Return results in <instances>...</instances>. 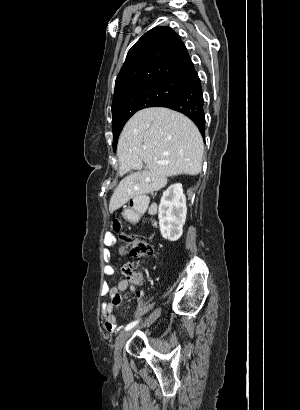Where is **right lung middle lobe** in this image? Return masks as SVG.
Wrapping results in <instances>:
<instances>
[{
	"mask_svg": "<svg viewBox=\"0 0 300 410\" xmlns=\"http://www.w3.org/2000/svg\"><path fill=\"white\" fill-rule=\"evenodd\" d=\"M183 82H163L134 87L120 94L113 102L112 111L113 149H116L118 137L128 119L138 110L161 106L173 99L186 86Z\"/></svg>",
	"mask_w": 300,
	"mask_h": 410,
	"instance_id": "right-lung-middle-lobe-1",
	"label": "right lung middle lobe"
}]
</instances>
